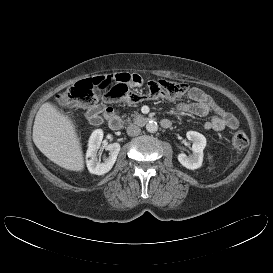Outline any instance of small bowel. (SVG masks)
Returning <instances> with one entry per match:
<instances>
[{"label": "small bowel", "mask_w": 273, "mask_h": 273, "mask_svg": "<svg viewBox=\"0 0 273 273\" xmlns=\"http://www.w3.org/2000/svg\"><path fill=\"white\" fill-rule=\"evenodd\" d=\"M139 78L137 83H140ZM188 101L180 102L177 109L186 115L206 116L212 113L209 120L205 121L203 128L205 130L223 131L224 129L235 130L238 128L236 117L221 107L209 94L200 88H191L187 93ZM113 111L108 106L97 104L90 107L85 117L92 125H97Z\"/></svg>", "instance_id": "1"}]
</instances>
